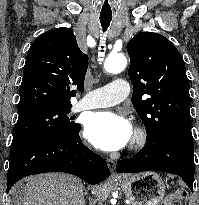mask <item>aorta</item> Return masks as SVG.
<instances>
[{
	"mask_svg": "<svg viewBox=\"0 0 199 205\" xmlns=\"http://www.w3.org/2000/svg\"><path fill=\"white\" fill-rule=\"evenodd\" d=\"M127 59L122 53L111 54L104 62V69L108 73L117 74L125 69Z\"/></svg>",
	"mask_w": 199,
	"mask_h": 205,
	"instance_id": "obj_1",
	"label": "aorta"
}]
</instances>
